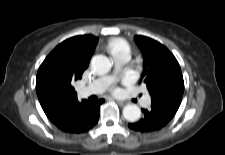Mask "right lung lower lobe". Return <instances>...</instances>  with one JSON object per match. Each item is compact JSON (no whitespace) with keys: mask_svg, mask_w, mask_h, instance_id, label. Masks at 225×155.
Instances as JSON below:
<instances>
[{"mask_svg":"<svg viewBox=\"0 0 225 155\" xmlns=\"http://www.w3.org/2000/svg\"><path fill=\"white\" fill-rule=\"evenodd\" d=\"M104 101L100 99L98 102L89 103L84 100L82 103L70 105L62 109L50 121L65 132H88L98 122L99 108Z\"/></svg>","mask_w":225,"mask_h":155,"instance_id":"1","label":"right lung lower lobe"}]
</instances>
